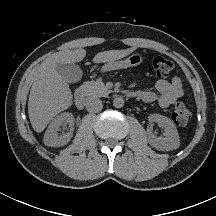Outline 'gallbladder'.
I'll return each mask as SVG.
<instances>
[{
  "label": "gallbladder",
  "mask_w": 216,
  "mask_h": 216,
  "mask_svg": "<svg viewBox=\"0 0 216 216\" xmlns=\"http://www.w3.org/2000/svg\"><path fill=\"white\" fill-rule=\"evenodd\" d=\"M56 70L68 83L78 82L83 75L81 68L74 63H58Z\"/></svg>",
  "instance_id": "gallbladder-1"
}]
</instances>
